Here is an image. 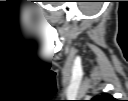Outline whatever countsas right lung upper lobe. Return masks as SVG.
Segmentation results:
<instances>
[{"label":"right lung upper lobe","mask_w":128,"mask_h":101,"mask_svg":"<svg viewBox=\"0 0 128 101\" xmlns=\"http://www.w3.org/2000/svg\"><path fill=\"white\" fill-rule=\"evenodd\" d=\"M97 99L99 101H113V97L108 94H103V95L97 96Z\"/></svg>","instance_id":"cb5924a9"}]
</instances>
